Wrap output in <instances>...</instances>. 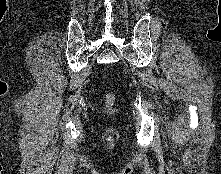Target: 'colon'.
<instances>
[{"instance_id":"5ec220e1","label":"colon","mask_w":221,"mask_h":174,"mask_svg":"<svg viewBox=\"0 0 221 174\" xmlns=\"http://www.w3.org/2000/svg\"><path fill=\"white\" fill-rule=\"evenodd\" d=\"M107 102H108V104H112V102H113V97H112V95H109V96H108Z\"/></svg>"}]
</instances>
